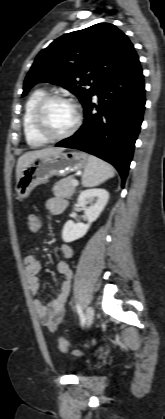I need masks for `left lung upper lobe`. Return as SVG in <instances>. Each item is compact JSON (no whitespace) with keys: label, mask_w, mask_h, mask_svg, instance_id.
<instances>
[{"label":"left lung upper lobe","mask_w":165,"mask_h":419,"mask_svg":"<svg viewBox=\"0 0 165 419\" xmlns=\"http://www.w3.org/2000/svg\"><path fill=\"white\" fill-rule=\"evenodd\" d=\"M133 52L127 36L109 23L65 34L38 54L24 81L22 96L35 84L49 82L75 94L84 108L102 80Z\"/></svg>","instance_id":"left-lung-upper-lobe-1"}]
</instances>
